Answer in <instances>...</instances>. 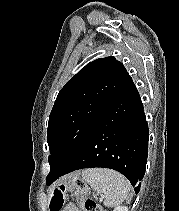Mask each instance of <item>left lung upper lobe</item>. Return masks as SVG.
Masks as SVG:
<instances>
[{
  "mask_svg": "<svg viewBox=\"0 0 179 211\" xmlns=\"http://www.w3.org/2000/svg\"><path fill=\"white\" fill-rule=\"evenodd\" d=\"M114 57L94 60L60 90L49 116L50 173L64 172L84 148L99 117L129 79Z\"/></svg>",
  "mask_w": 179,
  "mask_h": 211,
  "instance_id": "left-lung-upper-lobe-1",
  "label": "left lung upper lobe"
}]
</instances>
